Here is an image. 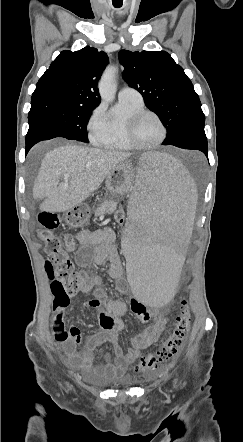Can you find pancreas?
Segmentation results:
<instances>
[{"label": "pancreas", "instance_id": "1", "mask_svg": "<svg viewBox=\"0 0 243 442\" xmlns=\"http://www.w3.org/2000/svg\"><path fill=\"white\" fill-rule=\"evenodd\" d=\"M117 208V203L113 200L110 201H104L101 204L98 205V207L95 209L94 214L95 216H101L106 213H113Z\"/></svg>", "mask_w": 243, "mask_h": 442}]
</instances>
